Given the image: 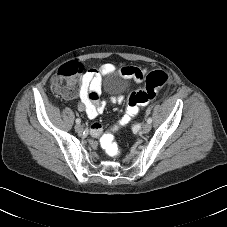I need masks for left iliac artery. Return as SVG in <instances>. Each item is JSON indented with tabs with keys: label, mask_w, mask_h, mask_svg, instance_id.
Masks as SVG:
<instances>
[{
	"label": "left iliac artery",
	"mask_w": 227,
	"mask_h": 227,
	"mask_svg": "<svg viewBox=\"0 0 227 227\" xmlns=\"http://www.w3.org/2000/svg\"><path fill=\"white\" fill-rule=\"evenodd\" d=\"M147 123H149V124L152 123V118H151V117H149V118L147 119Z\"/></svg>",
	"instance_id": "44dca946"
}]
</instances>
